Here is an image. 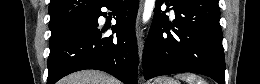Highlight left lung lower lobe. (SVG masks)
Segmentation results:
<instances>
[{"label": "left lung lower lobe", "instance_id": "left-lung-lower-lobe-1", "mask_svg": "<svg viewBox=\"0 0 260 84\" xmlns=\"http://www.w3.org/2000/svg\"><path fill=\"white\" fill-rule=\"evenodd\" d=\"M164 0H157L154 19L143 52L145 79L181 72L225 81L222 30L218 0H168L175 20L161 12Z\"/></svg>", "mask_w": 260, "mask_h": 84}]
</instances>
